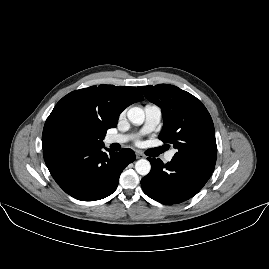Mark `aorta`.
Instances as JSON below:
<instances>
[{
  "label": "aorta",
  "mask_w": 269,
  "mask_h": 269,
  "mask_svg": "<svg viewBox=\"0 0 269 269\" xmlns=\"http://www.w3.org/2000/svg\"><path fill=\"white\" fill-rule=\"evenodd\" d=\"M127 118L133 124H141L145 119L144 110L141 107L133 106L127 110ZM135 170L142 176L147 175L151 170L150 162L146 159L137 160Z\"/></svg>",
  "instance_id": "762f6f07"
}]
</instances>
